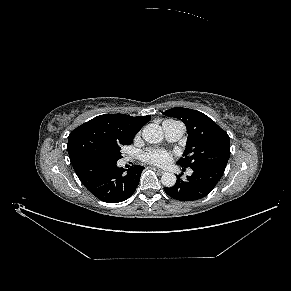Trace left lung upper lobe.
I'll return each mask as SVG.
<instances>
[{"label":"left lung upper lobe","instance_id":"obj_1","mask_svg":"<svg viewBox=\"0 0 291 291\" xmlns=\"http://www.w3.org/2000/svg\"><path fill=\"white\" fill-rule=\"evenodd\" d=\"M163 114L181 120L187 127L186 149L177 164L183 168L199 165L226 167L230 156L229 136L211 118L188 108H172Z\"/></svg>","mask_w":291,"mask_h":291}]
</instances>
